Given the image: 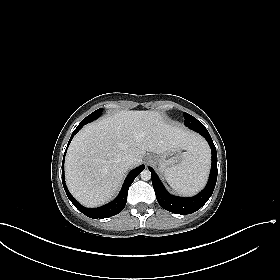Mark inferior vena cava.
<instances>
[{
  "label": "inferior vena cava",
  "mask_w": 280,
  "mask_h": 280,
  "mask_svg": "<svg viewBox=\"0 0 280 280\" xmlns=\"http://www.w3.org/2000/svg\"><path fill=\"white\" fill-rule=\"evenodd\" d=\"M124 164L126 166H131L133 165V163L135 162V156L132 154H126L123 158H122Z\"/></svg>",
  "instance_id": "602c4592"
}]
</instances>
